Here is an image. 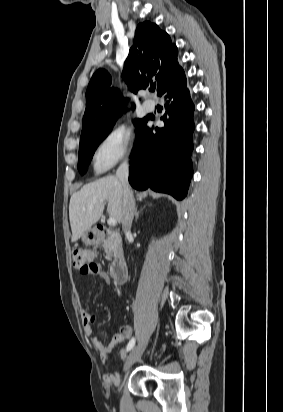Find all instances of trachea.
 I'll return each instance as SVG.
<instances>
[{
	"label": "trachea",
	"mask_w": 283,
	"mask_h": 412,
	"mask_svg": "<svg viewBox=\"0 0 283 412\" xmlns=\"http://www.w3.org/2000/svg\"><path fill=\"white\" fill-rule=\"evenodd\" d=\"M150 91H151V92H154V91H155V87H151V88H150Z\"/></svg>",
	"instance_id": "trachea-1"
}]
</instances>
